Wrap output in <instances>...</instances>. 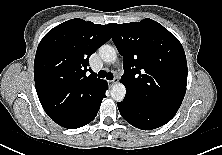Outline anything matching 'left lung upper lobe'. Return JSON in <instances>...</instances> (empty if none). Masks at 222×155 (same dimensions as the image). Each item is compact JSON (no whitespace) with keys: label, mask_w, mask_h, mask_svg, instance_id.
<instances>
[{"label":"left lung upper lobe","mask_w":222,"mask_h":155,"mask_svg":"<svg viewBox=\"0 0 222 155\" xmlns=\"http://www.w3.org/2000/svg\"><path fill=\"white\" fill-rule=\"evenodd\" d=\"M124 58L126 96L177 112L186 92L187 61L179 40L158 22L108 24Z\"/></svg>","instance_id":"obj_1"}]
</instances>
